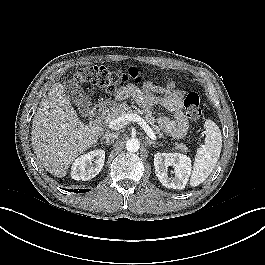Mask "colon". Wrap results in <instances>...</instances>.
Segmentation results:
<instances>
[{"mask_svg":"<svg viewBox=\"0 0 265 265\" xmlns=\"http://www.w3.org/2000/svg\"><path fill=\"white\" fill-rule=\"evenodd\" d=\"M130 78L136 82L142 80L137 72L133 74L130 72L128 74L116 73L105 66L97 65L80 68L74 74V79L77 83L102 87L110 93L115 92ZM184 105L186 114L192 122H199L202 119L203 109L201 107L200 97L196 92L188 93Z\"/></svg>","mask_w":265,"mask_h":265,"instance_id":"5ec220e1","label":"colon"}]
</instances>
